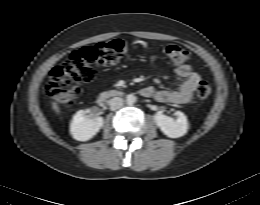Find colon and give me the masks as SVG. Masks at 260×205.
I'll return each instance as SVG.
<instances>
[{"instance_id":"5ec220e1","label":"colon","mask_w":260,"mask_h":205,"mask_svg":"<svg viewBox=\"0 0 260 205\" xmlns=\"http://www.w3.org/2000/svg\"><path fill=\"white\" fill-rule=\"evenodd\" d=\"M128 53V45L121 40L101 42L75 50L64 63L51 71L45 88L47 96L56 103L75 104L80 95V85L94 77V65H116ZM165 54L173 64H182L189 58V52L175 44L167 46ZM210 91V85L205 80H200L195 87V95L199 99H206Z\"/></svg>"}]
</instances>
